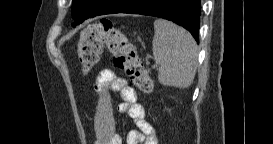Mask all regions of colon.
Segmentation results:
<instances>
[{"label": "colon", "instance_id": "obj_1", "mask_svg": "<svg viewBox=\"0 0 273 144\" xmlns=\"http://www.w3.org/2000/svg\"><path fill=\"white\" fill-rule=\"evenodd\" d=\"M104 45H107L112 53L114 66L124 71L142 93H150L152 80L147 68L137 55L133 44L110 19H99L82 30L78 44L82 71L87 73L96 66Z\"/></svg>", "mask_w": 273, "mask_h": 144}]
</instances>
